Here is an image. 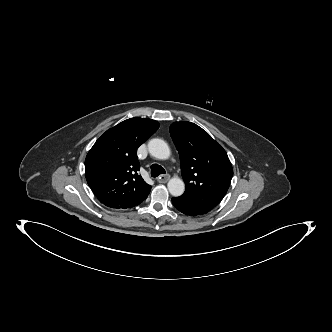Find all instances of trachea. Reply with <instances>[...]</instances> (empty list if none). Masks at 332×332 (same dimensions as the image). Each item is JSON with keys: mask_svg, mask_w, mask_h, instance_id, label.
Masks as SVG:
<instances>
[{"mask_svg": "<svg viewBox=\"0 0 332 332\" xmlns=\"http://www.w3.org/2000/svg\"><path fill=\"white\" fill-rule=\"evenodd\" d=\"M150 168L152 177H157L160 174H165V169L158 164H152Z\"/></svg>", "mask_w": 332, "mask_h": 332, "instance_id": "trachea-1", "label": "trachea"}]
</instances>
